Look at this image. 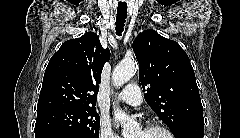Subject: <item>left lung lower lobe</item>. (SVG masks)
<instances>
[{
	"label": "left lung lower lobe",
	"mask_w": 240,
	"mask_h": 138,
	"mask_svg": "<svg viewBox=\"0 0 240 138\" xmlns=\"http://www.w3.org/2000/svg\"><path fill=\"white\" fill-rule=\"evenodd\" d=\"M204 122H195L182 128L176 138H203Z\"/></svg>",
	"instance_id": "obj_1"
}]
</instances>
